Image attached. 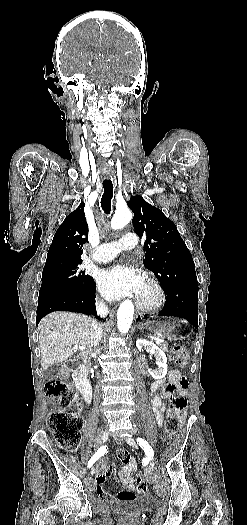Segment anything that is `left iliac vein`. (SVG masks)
<instances>
[{"instance_id": "left-iliac-vein-1", "label": "left iliac vein", "mask_w": 247, "mask_h": 525, "mask_svg": "<svg viewBox=\"0 0 247 525\" xmlns=\"http://www.w3.org/2000/svg\"><path fill=\"white\" fill-rule=\"evenodd\" d=\"M125 441H126L130 446H132V447H135V448L138 447L137 444H136V442L134 441V439L131 438V437H126V438H125ZM149 466H150V468H154V466H155V461H154V459L150 458V460H149Z\"/></svg>"}]
</instances>
